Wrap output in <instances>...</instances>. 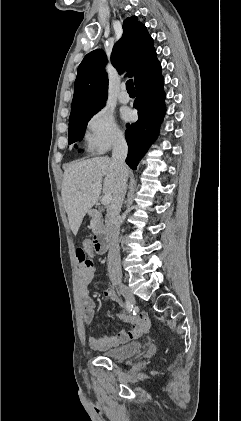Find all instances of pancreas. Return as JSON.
Segmentation results:
<instances>
[{
    "label": "pancreas",
    "mask_w": 241,
    "mask_h": 421,
    "mask_svg": "<svg viewBox=\"0 0 241 421\" xmlns=\"http://www.w3.org/2000/svg\"><path fill=\"white\" fill-rule=\"evenodd\" d=\"M90 228L92 229V231L95 233L97 231L98 228V223L96 220H92L90 223Z\"/></svg>",
    "instance_id": "cf45deb5"
}]
</instances>
